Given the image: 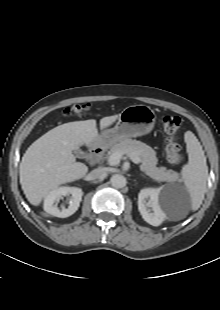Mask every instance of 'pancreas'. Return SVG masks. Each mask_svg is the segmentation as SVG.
<instances>
[{"label": "pancreas", "mask_w": 220, "mask_h": 310, "mask_svg": "<svg viewBox=\"0 0 220 310\" xmlns=\"http://www.w3.org/2000/svg\"><path fill=\"white\" fill-rule=\"evenodd\" d=\"M121 152L123 155L134 153L141 160L140 169L146 175L159 182H174L178 179L177 172L167 170L165 167L158 168L156 152L141 141L126 138L110 148L109 154Z\"/></svg>", "instance_id": "1"}]
</instances>
